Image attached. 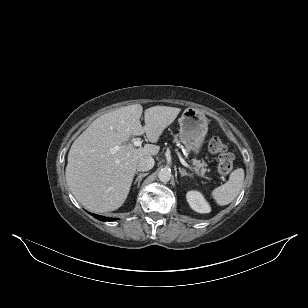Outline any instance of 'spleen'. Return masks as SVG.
<instances>
[{"mask_svg":"<svg viewBox=\"0 0 308 308\" xmlns=\"http://www.w3.org/2000/svg\"><path fill=\"white\" fill-rule=\"evenodd\" d=\"M244 182V170L235 169L229 176V180L212 191V196L218 205L224 206L231 203L240 193Z\"/></svg>","mask_w":308,"mask_h":308,"instance_id":"spleen-1","label":"spleen"}]
</instances>
